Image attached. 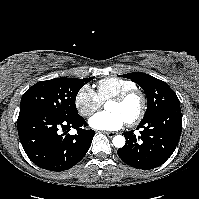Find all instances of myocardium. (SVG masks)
<instances>
[{
	"mask_svg": "<svg viewBox=\"0 0 199 199\" xmlns=\"http://www.w3.org/2000/svg\"><path fill=\"white\" fill-rule=\"evenodd\" d=\"M133 96H137L139 98L140 107H139L137 114L134 117L127 120V124L130 126H133V125L137 124L138 122H140L146 113L147 97H146L145 93L138 88H133V89L124 91V92L120 93L119 95L110 99L111 102L124 103L125 101H127L129 98H131Z\"/></svg>",
	"mask_w": 199,
	"mask_h": 199,
	"instance_id": "1",
	"label": "myocardium"
}]
</instances>
